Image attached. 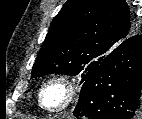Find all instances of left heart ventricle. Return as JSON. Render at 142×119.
I'll list each match as a JSON object with an SVG mask.
<instances>
[{"mask_svg": "<svg viewBox=\"0 0 142 119\" xmlns=\"http://www.w3.org/2000/svg\"><path fill=\"white\" fill-rule=\"evenodd\" d=\"M63 97V92L60 87H51L45 94L44 101L47 105L58 104Z\"/></svg>", "mask_w": 142, "mask_h": 119, "instance_id": "left-heart-ventricle-1", "label": "left heart ventricle"}]
</instances>
